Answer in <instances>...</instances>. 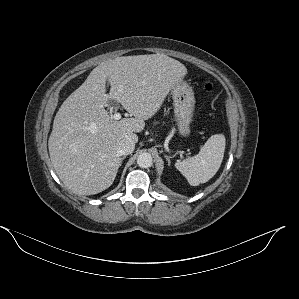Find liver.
Listing matches in <instances>:
<instances>
[{
    "label": "liver",
    "instance_id": "1",
    "mask_svg": "<svg viewBox=\"0 0 299 299\" xmlns=\"http://www.w3.org/2000/svg\"><path fill=\"white\" fill-rule=\"evenodd\" d=\"M186 74L182 63L164 54L117 57L95 67L54 118L48 148L61 181L79 195L109 188L122 163L119 142H138L136 133L144 129L145 120L157 113ZM108 100L120 103L134 118H111L105 109Z\"/></svg>",
    "mask_w": 299,
    "mask_h": 299
}]
</instances>
